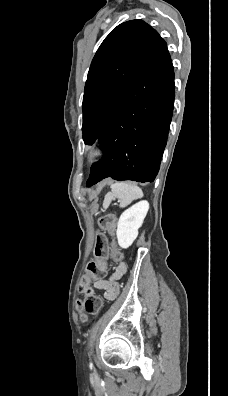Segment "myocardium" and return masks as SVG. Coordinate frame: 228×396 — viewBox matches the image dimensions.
<instances>
[{"mask_svg":"<svg viewBox=\"0 0 228 396\" xmlns=\"http://www.w3.org/2000/svg\"><path fill=\"white\" fill-rule=\"evenodd\" d=\"M106 156V145L102 141H95L90 149L89 158L93 162L101 161Z\"/></svg>","mask_w":228,"mask_h":396,"instance_id":"myocardium-1","label":"myocardium"}]
</instances>
